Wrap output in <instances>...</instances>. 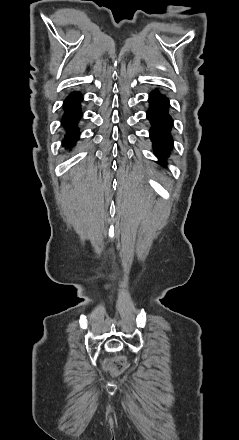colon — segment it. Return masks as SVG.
I'll use <instances>...</instances> for the list:
<instances>
[{
    "mask_svg": "<svg viewBox=\"0 0 239 440\" xmlns=\"http://www.w3.org/2000/svg\"><path fill=\"white\" fill-rule=\"evenodd\" d=\"M126 364V358L123 356H119L108 364V368L112 369L113 371H120L126 366Z\"/></svg>",
    "mask_w": 239,
    "mask_h": 440,
    "instance_id": "5ec220e1",
    "label": "colon"
}]
</instances>
